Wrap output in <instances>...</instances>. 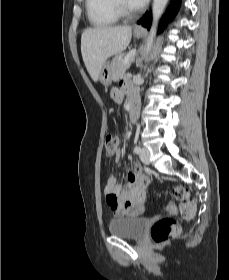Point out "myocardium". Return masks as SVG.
<instances>
[{"mask_svg":"<svg viewBox=\"0 0 229 280\" xmlns=\"http://www.w3.org/2000/svg\"><path fill=\"white\" fill-rule=\"evenodd\" d=\"M112 8L117 13L119 17H129L134 15L138 9L137 8H129L126 6L123 0H111Z\"/></svg>","mask_w":229,"mask_h":280,"instance_id":"1","label":"myocardium"}]
</instances>
